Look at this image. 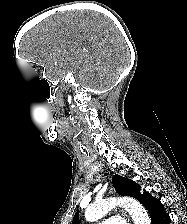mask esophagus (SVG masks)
<instances>
[{
    "mask_svg": "<svg viewBox=\"0 0 187 224\" xmlns=\"http://www.w3.org/2000/svg\"><path fill=\"white\" fill-rule=\"evenodd\" d=\"M119 211L122 213V215H123L124 217H126V219L128 220V224H131V223H130V218H129V216L126 214V212H125L124 210H122V209H120Z\"/></svg>",
    "mask_w": 187,
    "mask_h": 224,
    "instance_id": "34e87169",
    "label": "esophagus"
}]
</instances>
